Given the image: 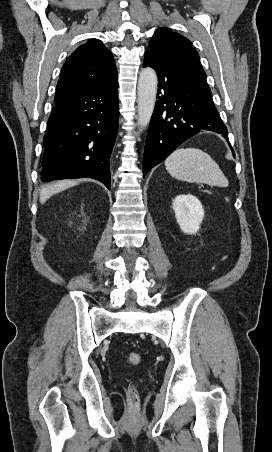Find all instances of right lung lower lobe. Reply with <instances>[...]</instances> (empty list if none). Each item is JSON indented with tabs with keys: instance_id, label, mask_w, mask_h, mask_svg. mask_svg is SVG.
I'll return each mask as SVG.
<instances>
[{
	"instance_id": "1",
	"label": "right lung lower lobe",
	"mask_w": 272,
	"mask_h": 452,
	"mask_svg": "<svg viewBox=\"0 0 272 452\" xmlns=\"http://www.w3.org/2000/svg\"><path fill=\"white\" fill-rule=\"evenodd\" d=\"M118 118L117 78L56 105L43 139L40 179L93 178L110 189Z\"/></svg>"
}]
</instances>
